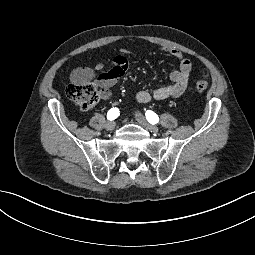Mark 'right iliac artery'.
Wrapping results in <instances>:
<instances>
[{
  "label": "right iliac artery",
  "instance_id": "1",
  "mask_svg": "<svg viewBox=\"0 0 255 255\" xmlns=\"http://www.w3.org/2000/svg\"><path fill=\"white\" fill-rule=\"evenodd\" d=\"M119 116V109L114 107L111 108L107 113L108 120H114Z\"/></svg>",
  "mask_w": 255,
  "mask_h": 255
}]
</instances>
